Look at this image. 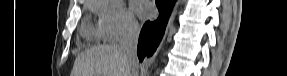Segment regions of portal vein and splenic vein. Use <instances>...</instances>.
<instances>
[{
    "label": "portal vein and splenic vein",
    "instance_id": "1",
    "mask_svg": "<svg viewBox=\"0 0 287 76\" xmlns=\"http://www.w3.org/2000/svg\"><path fill=\"white\" fill-rule=\"evenodd\" d=\"M107 76H113V75H111V74H107Z\"/></svg>",
    "mask_w": 287,
    "mask_h": 76
}]
</instances>
